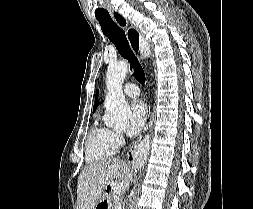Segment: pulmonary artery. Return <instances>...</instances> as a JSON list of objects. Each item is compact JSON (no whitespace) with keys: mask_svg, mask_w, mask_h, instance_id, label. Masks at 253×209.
I'll return each mask as SVG.
<instances>
[{"mask_svg":"<svg viewBox=\"0 0 253 209\" xmlns=\"http://www.w3.org/2000/svg\"><path fill=\"white\" fill-rule=\"evenodd\" d=\"M123 91L129 97H136L139 95L138 86L134 83H127L124 86Z\"/></svg>","mask_w":253,"mask_h":209,"instance_id":"obj_1","label":"pulmonary artery"}]
</instances>
